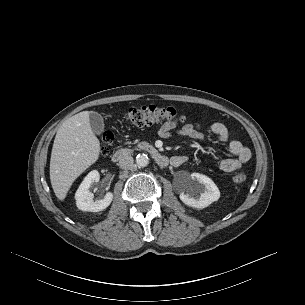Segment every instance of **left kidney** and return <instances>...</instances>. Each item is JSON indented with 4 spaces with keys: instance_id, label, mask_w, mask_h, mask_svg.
I'll return each instance as SVG.
<instances>
[{
    "instance_id": "obj_1",
    "label": "left kidney",
    "mask_w": 305,
    "mask_h": 305,
    "mask_svg": "<svg viewBox=\"0 0 305 305\" xmlns=\"http://www.w3.org/2000/svg\"><path fill=\"white\" fill-rule=\"evenodd\" d=\"M199 184L200 196L194 197L192 186ZM180 200L187 206L202 209L220 198V191L216 184L207 176L192 173L189 176L188 186L180 193Z\"/></svg>"
}]
</instances>
